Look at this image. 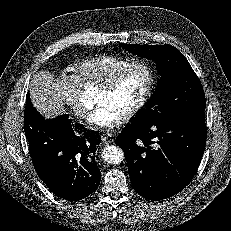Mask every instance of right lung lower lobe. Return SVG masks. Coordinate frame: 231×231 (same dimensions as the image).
I'll return each mask as SVG.
<instances>
[{"label": "right lung lower lobe", "mask_w": 231, "mask_h": 231, "mask_svg": "<svg viewBox=\"0 0 231 231\" xmlns=\"http://www.w3.org/2000/svg\"><path fill=\"white\" fill-rule=\"evenodd\" d=\"M25 135L34 168L53 194L79 201L93 193L101 179L95 162L99 134L73 123L68 114L45 119L26 96Z\"/></svg>", "instance_id": "right-lung-lower-lobe-1"}]
</instances>
